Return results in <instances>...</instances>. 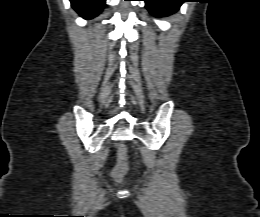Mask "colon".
Masks as SVG:
<instances>
[{
  "label": "colon",
  "mask_w": 260,
  "mask_h": 217,
  "mask_svg": "<svg viewBox=\"0 0 260 217\" xmlns=\"http://www.w3.org/2000/svg\"><path fill=\"white\" fill-rule=\"evenodd\" d=\"M116 151L118 156V163L113 169L111 176L113 180L121 182L128 172V165L126 162L128 149L127 146L123 143H117Z\"/></svg>",
  "instance_id": "5ec220e1"
}]
</instances>
